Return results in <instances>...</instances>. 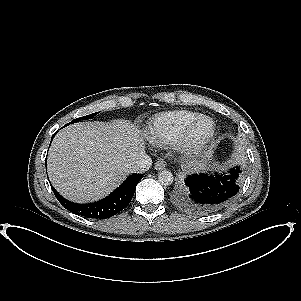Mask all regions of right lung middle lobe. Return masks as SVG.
Segmentation results:
<instances>
[{
  "instance_id": "1",
  "label": "right lung middle lobe",
  "mask_w": 301,
  "mask_h": 301,
  "mask_svg": "<svg viewBox=\"0 0 301 301\" xmlns=\"http://www.w3.org/2000/svg\"><path fill=\"white\" fill-rule=\"evenodd\" d=\"M97 113H98V112L92 113V114H90V115L83 116V117H80V118H77V119H74V120L72 121V123L78 122V121H80L81 119H82V120L92 119ZM69 124H70V123H68L67 125H69ZM67 125H66V126H67Z\"/></svg>"
}]
</instances>
